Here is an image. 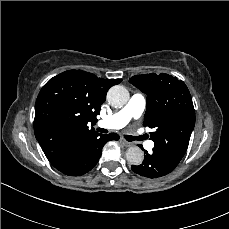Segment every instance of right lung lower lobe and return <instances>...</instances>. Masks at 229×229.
Masks as SVG:
<instances>
[{
    "label": "right lung lower lobe",
    "instance_id": "98d812e1",
    "mask_svg": "<svg viewBox=\"0 0 229 229\" xmlns=\"http://www.w3.org/2000/svg\"><path fill=\"white\" fill-rule=\"evenodd\" d=\"M116 133L96 134L82 142L65 160L55 168L69 176H80L90 171L98 162L104 144L118 140Z\"/></svg>",
    "mask_w": 229,
    "mask_h": 229
}]
</instances>
